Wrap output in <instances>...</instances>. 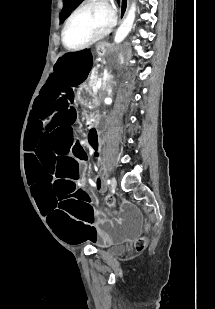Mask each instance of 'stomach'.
<instances>
[{
  "label": "stomach",
  "instance_id": "1",
  "mask_svg": "<svg viewBox=\"0 0 215 309\" xmlns=\"http://www.w3.org/2000/svg\"><path fill=\"white\" fill-rule=\"evenodd\" d=\"M96 50L99 56H104L109 51V44L107 42H101L97 45ZM81 96L86 101H92L96 97V93L88 85L81 90Z\"/></svg>",
  "mask_w": 215,
  "mask_h": 309
}]
</instances>
